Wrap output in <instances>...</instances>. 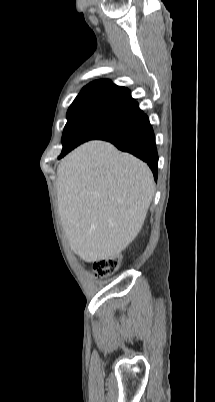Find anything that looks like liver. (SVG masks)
Returning <instances> with one entry per match:
<instances>
[{"mask_svg": "<svg viewBox=\"0 0 215 402\" xmlns=\"http://www.w3.org/2000/svg\"><path fill=\"white\" fill-rule=\"evenodd\" d=\"M56 187L69 246L89 263L115 258L136 238L155 192L144 162L99 140L62 159Z\"/></svg>", "mask_w": 215, "mask_h": 402, "instance_id": "obj_1", "label": "liver"}]
</instances>
